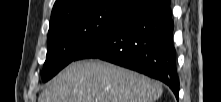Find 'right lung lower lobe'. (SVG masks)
Masks as SVG:
<instances>
[{"mask_svg": "<svg viewBox=\"0 0 221 102\" xmlns=\"http://www.w3.org/2000/svg\"><path fill=\"white\" fill-rule=\"evenodd\" d=\"M173 30L170 2L146 0L77 60L98 58L143 73L168 85L178 98Z\"/></svg>", "mask_w": 221, "mask_h": 102, "instance_id": "obj_1", "label": "right lung lower lobe"}]
</instances>
